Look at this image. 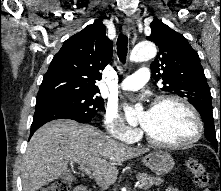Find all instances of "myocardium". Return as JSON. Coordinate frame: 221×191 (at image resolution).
Instances as JSON below:
<instances>
[{
    "instance_id": "1",
    "label": "myocardium",
    "mask_w": 221,
    "mask_h": 191,
    "mask_svg": "<svg viewBox=\"0 0 221 191\" xmlns=\"http://www.w3.org/2000/svg\"><path fill=\"white\" fill-rule=\"evenodd\" d=\"M165 101H175V102L179 103L180 105H182L183 107H185L190 112V114L192 115V117L195 121V125H196L195 134L190 139H188L186 141L179 142V143H170V142H164V141L157 140V139L153 138L147 131L142 129V134H143L144 138L146 139V141L152 146L159 147V148H166V149L187 148V147L195 144L196 142H198L203 136L204 124H203L202 118H201L199 112L197 111V109L185 98L175 95V94H163V95L158 96L153 101L152 108L159 106L161 103H163Z\"/></svg>"
}]
</instances>
